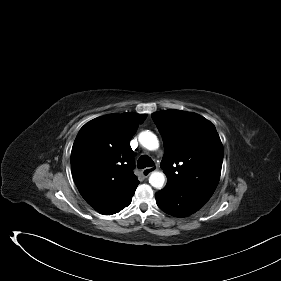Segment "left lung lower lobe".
<instances>
[{
    "instance_id": "0a47b994",
    "label": "left lung lower lobe",
    "mask_w": 281,
    "mask_h": 281,
    "mask_svg": "<svg viewBox=\"0 0 281 281\" xmlns=\"http://www.w3.org/2000/svg\"><path fill=\"white\" fill-rule=\"evenodd\" d=\"M157 205L167 214L186 217L198 211L210 199L192 188L166 185L155 194Z\"/></svg>"
}]
</instances>
